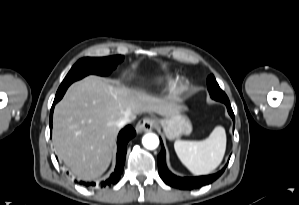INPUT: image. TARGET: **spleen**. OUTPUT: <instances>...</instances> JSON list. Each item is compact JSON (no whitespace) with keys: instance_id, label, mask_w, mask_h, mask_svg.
Returning a JSON list of instances; mask_svg holds the SVG:
<instances>
[{"instance_id":"1","label":"spleen","mask_w":299,"mask_h":205,"mask_svg":"<svg viewBox=\"0 0 299 205\" xmlns=\"http://www.w3.org/2000/svg\"><path fill=\"white\" fill-rule=\"evenodd\" d=\"M175 152L180 161L196 175H205L215 170L223 160L226 150V133L217 126L203 141L176 140Z\"/></svg>"}]
</instances>
